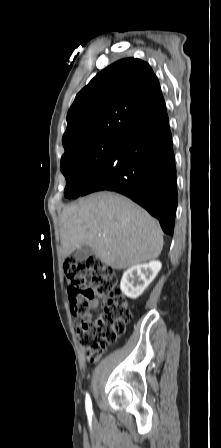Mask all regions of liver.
Here are the masks:
<instances>
[{"label":"liver","instance_id":"1","mask_svg":"<svg viewBox=\"0 0 221 448\" xmlns=\"http://www.w3.org/2000/svg\"><path fill=\"white\" fill-rule=\"evenodd\" d=\"M61 245L64 257L88 245L102 263L126 269L156 259L163 234L158 221L130 199L99 192L64 208Z\"/></svg>","mask_w":221,"mask_h":448}]
</instances>
